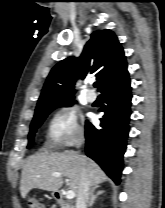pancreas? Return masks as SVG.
Here are the masks:
<instances>
[{
    "instance_id": "obj_1",
    "label": "pancreas",
    "mask_w": 165,
    "mask_h": 208,
    "mask_svg": "<svg viewBox=\"0 0 165 208\" xmlns=\"http://www.w3.org/2000/svg\"><path fill=\"white\" fill-rule=\"evenodd\" d=\"M62 208H69L68 205L63 206Z\"/></svg>"
}]
</instances>
